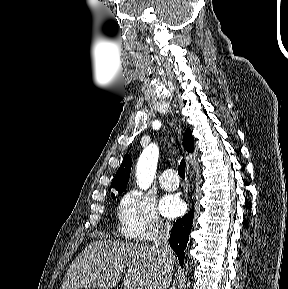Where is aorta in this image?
Returning a JSON list of instances; mask_svg holds the SVG:
<instances>
[{
  "label": "aorta",
  "mask_w": 288,
  "mask_h": 289,
  "mask_svg": "<svg viewBox=\"0 0 288 289\" xmlns=\"http://www.w3.org/2000/svg\"><path fill=\"white\" fill-rule=\"evenodd\" d=\"M158 155V147L155 144L143 150L136 168L137 183L141 189L150 187L156 172Z\"/></svg>",
  "instance_id": "1"
}]
</instances>
